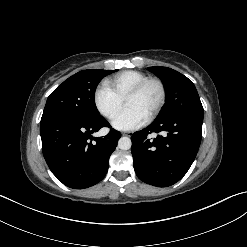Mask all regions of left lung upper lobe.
I'll use <instances>...</instances> for the list:
<instances>
[{
  "label": "left lung upper lobe",
  "mask_w": 247,
  "mask_h": 247,
  "mask_svg": "<svg viewBox=\"0 0 247 247\" xmlns=\"http://www.w3.org/2000/svg\"><path fill=\"white\" fill-rule=\"evenodd\" d=\"M148 70L163 81L166 89V103L156 122L167 120L177 113L203 114L198 92L190 79L167 67H148Z\"/></svg>",
  "instance_id": "5c2ea615"
}]
</instances>
